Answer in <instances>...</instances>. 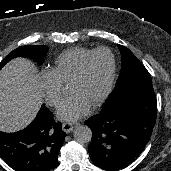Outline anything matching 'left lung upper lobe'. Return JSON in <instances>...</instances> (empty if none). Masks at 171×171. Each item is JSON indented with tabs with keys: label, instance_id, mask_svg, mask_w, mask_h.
Wrapping results in <instances>:
<instances>
[{
	"label": "left lung upper lobe",
	"instance_id": "5c2ea615",
	"mask_svg": "<svg viewBox=\"0 0 171 171\" xmlns=\"http://www.w3.org/2000/svg\"><path fill=\"white\" fill-rule=\"evenodd\" d=\"M121 52V71L115 88L102 109L112 106L118 100L137 94L155 96L149 72L126 47L118 45Z\"/></svg>",
	"mask_w": 171,
	"mask_h": 171
}]
</instances>
